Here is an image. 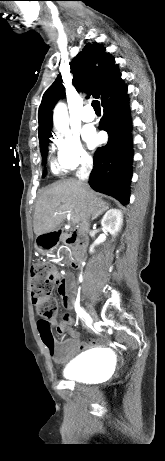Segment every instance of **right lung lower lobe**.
Instances as JSON below:
<instances>
[{
  "instance_id": "obj_1",
  "label": "right lung lower lobe",
  "mask_w": 165,
  "mask_h": 461,
  "mask_svg": "<svg viewBox=\"0 0 165 461\" xmlns=\"http://www.w3.org/2000/svg\"><path fill=\"white\" fill-rule=\"evenodd\" d=\"M127 92V91H126ZM103 106L104 115L99 129L108 133V143L98 148L89 184L95 191L111 195L121 204L129 202V184L133 158L128 95Z\"/></svg>"
}]
</instances>
